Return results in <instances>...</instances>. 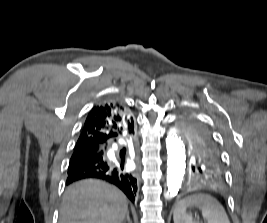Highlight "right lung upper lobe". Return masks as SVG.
<instances>
[{
    "mask_svg": "<svg viewBox=\"0 0 267 223\" xmlns=\"http://www.w3.org/2000/svg\"><path fill=\"white\" fill-rule=\"evenodd\" d=\"M133 128L134 121L130 109L110 99L90 110L75 149L97 151L111 141L126 137Z\"/></svg>",
    "mask_w": 267,
    "mask_h": 223,
    "instance_id": "right-lung-upper-lobe-1",
    "label": "right lung upper lobe"
}]
</instances>
